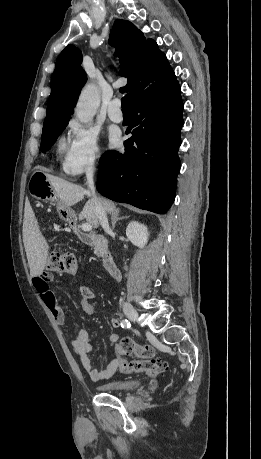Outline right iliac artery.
<instances>
[{
    "mask_svg": "<svg viewBox=\"0 0 261 459\" xmlns=\"http://www.w3.org/2000/svg\"><path fill=\"white\" fill-rule=\"evenodd\" d=\"M122 328H130V322L127 319L121 321Z\"/></svg>",
    "mask_w": 261,
    "mask_h": 459,
    "instance_id": "82829eb1",
    "label": "right iliac artery"
}]
</instances>
